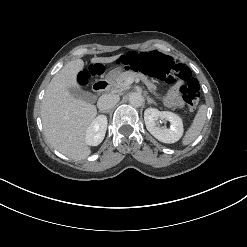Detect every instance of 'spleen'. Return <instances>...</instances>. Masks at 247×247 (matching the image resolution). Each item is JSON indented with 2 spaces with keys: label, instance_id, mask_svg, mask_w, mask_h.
<instances>
[{
  "label": "spleen",
  "instance_id": "spleen-1",
  "mask_svg": "<svg viewBox=\"0 0 247 247\" xmlns=\"http://www.w3.org/2000/svg\"><path fill=\"white\" fill-rule=\"evenodd\" d=\"M206 113H207V106L201 105L191 126L188 128V130L185 133V136L182 140V145H188L192 143L199 136L206 121Z\"/></svg>",
  "mask_w": 247,
  "mask_h": 247
}]
</instances>
